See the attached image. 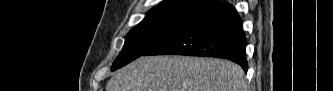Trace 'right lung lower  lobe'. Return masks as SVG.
<instances>
[{
  "label": "right lung lower lobe",
  "instance_id": "98d812e1",
  "mask_svg": "<svg viewBox=\"0 0 333 91\" xmlns=\"http://www.w3.org/2000/svg\"><path fill=\"white\" fill-rule=\"evenodd\" d=\"M246 38L232 5L216 2L144 55H191L232 60L247 72Z\"/></svg>",
  "mask_w": 333,
  "mask_h": 91
}]
</instances>
